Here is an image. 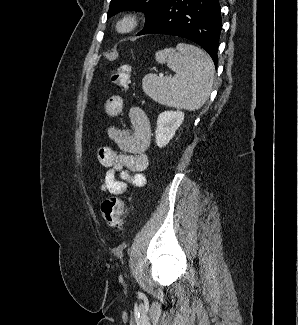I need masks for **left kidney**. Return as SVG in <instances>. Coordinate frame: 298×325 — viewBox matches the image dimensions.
<instances>
[{"instance_id": "5707ae66", "label": "left kidney", "mask_w": 298, "mask_h": 325, "mask_svg": "<svg viewBox=\"0 0 298 325\" xmlns=\"http://www.w3.org/2000/svg\"><path fill=\"white\" fill-rule=\"evenodd\" d=\"M182 110H163L158 114L155 136L157 146H166L184 120Z\"/></svg>"}]
</instances>
